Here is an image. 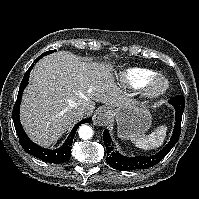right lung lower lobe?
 <instances>
[{"instance_id": "1", "label": "right lung lower lobe", "mask_w": 199, "mask_h": 199, "mask_svg": "<svg viewBox=\"0 0 199 199\" xmlns=\"http://www.w3.org/2000/svg\"><path fill=\"white\" fill-rule=\"evenodd\" d=\"M42 56H39L34 63H36L39 59H41ZM34 63L30 66V68L27 70V72L25 73L23 80L20 84V88H19V92H18V96H17V101L13 107V121H14V126L17 132V135L19 137V142L22 146V148L29 154L43 160L49 163H63L65 161H67L70 158L71 155V146L73 143V139L75 136V133L77 131V128L83 124V123H89L92 119L88 118V119H84L82 121H80L79 123H77L74 128L71 131V134L69 135L68 139L65 141V143L57 150H49V149H45L42 148L38 145H36L35 143H33L26 135V133L24 132L22 125L20 123V119H19V108H20V103H21V98H22V93L24 88L27 86L28 84V79H29V74L31 69L34 66Z\"/></svg>"}]
</instances>
